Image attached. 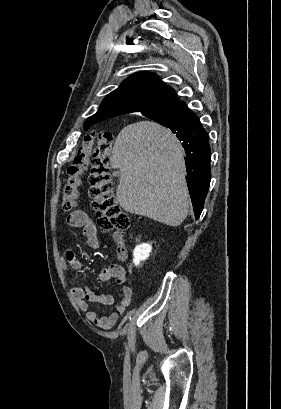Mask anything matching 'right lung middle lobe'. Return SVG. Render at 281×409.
Returning a JSON list of instances; mask_svg holds the SVG:
<instances>
[{
  "label": "right lung middle lobe",
  "instance_id": "obj_1",
  "mask_svg": "<svg viewBox=\"0 0 281 409\" xmlns=\"http://www.w3.org/2000/svg\"><path fill=\"white\" fill-rule=\"evenodd\" d=\"M153 121L158 122L159 124L168 127L169 125H172L173 123L178 121V118L174 116H168V117H160V118H153Z\"/></svg>",
  "mask_w": 281,
  "mask_h": 409
}]
</instances>
